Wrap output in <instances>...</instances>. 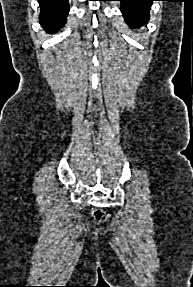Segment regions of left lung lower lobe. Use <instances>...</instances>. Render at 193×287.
<instances>
[{"label": "left lung lower lobe", "mask_w": 193, "mask_h": 287, "mask_svg": "<svg viewBox=\"0 0 193 287\" xmlns=\"http://www.w3.org/2000/svg\"><path fill=\"white\" fill-rule=\"evenodd\" d=\"M121 2V12L130 28H137L149 20L152 2L157 0H117Z\"/></svg>", "instance_id": "0a47b994"}]
</instances>
